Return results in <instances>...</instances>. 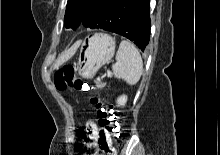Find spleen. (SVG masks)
<instances>
[{
	"mask_svg": "<svg viewBox=\"0 0 220 155\" xmlns=\"http://www.w3.org/2000/svg\"><path fill=\"white\" fill-rule=\"evenodd\" d=\"M113 75L129 85H135L143 72V62L138 49L128 40H122L112 66Z\"/></svg>",
	"mask_w": 220,
	"mask_h": 155,
	"instance_id": "obj_1",
	"label": "spleen"
}]
</instances>
